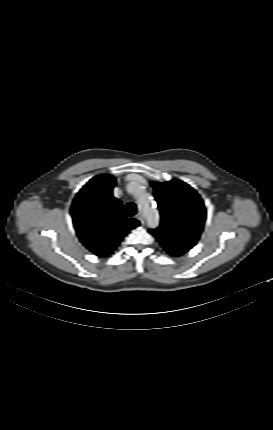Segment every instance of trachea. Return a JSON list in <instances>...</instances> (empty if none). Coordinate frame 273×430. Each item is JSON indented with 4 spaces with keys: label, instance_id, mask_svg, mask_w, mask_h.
<instances>
[{
    "label": "trachea",
    "instance_id": "obj_1",
    "mask_svg": "<svg viewBox=\"0 0 273 430\" xmlns=\"http://www.w3.org/2000/svg\"><path fill=\"white\" fill-rule=\"evenodd\" d=\"M125 210H126V216H133L137 212L136 205L132 202H129L126 204Z\"/></svg>",
    "mask_w": 273,
    "mask_h": 430
}]
</instances>
